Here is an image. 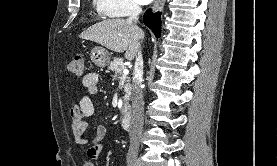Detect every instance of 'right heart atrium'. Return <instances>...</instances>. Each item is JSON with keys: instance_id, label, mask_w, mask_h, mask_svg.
<instances>
[{"instance_id": "1", "label": "right heart atrium", "mask_w": 277, "mask_h": 166, "mask_svg": "<svg viewBox=\"0 0 277 166\" xmlns=\"http://www.w3.org/2000/svg\"><path fill=\"white\" fill-rule=\"evenodd\" d=\"M102 2L113 16H127L139 10L136 0H102Z\"/></svg>"}]
</instances>
